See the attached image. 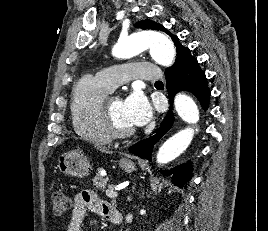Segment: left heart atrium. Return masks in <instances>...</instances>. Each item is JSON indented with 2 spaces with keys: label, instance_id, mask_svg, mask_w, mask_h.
<instances>
[{
  "label": "left heart atrium",
  "instance_id": "obj_1",
  "mask_svg": "<svg viewBox=\"0 0 268 231\" xmlns=\"http://www.w3.org/2000/svg\"><path fill=\"white\" fill-rule=\"evenodd\" d=\"M125 109L134 126H142L148 123L153 112L148 99L139 91L134 90L125 100Z\"/></svg>",
  "mask_w": 268,
  "mask_h": 231
}]
</instances>
